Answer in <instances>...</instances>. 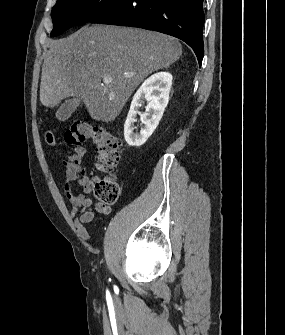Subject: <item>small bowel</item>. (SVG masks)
Listing matches in <instances>:
<instances>
[{
  "label": "small bowel",
  "instance_id": "c3829d8e",
  "mask_svg": "<svg viewBox=\"0 0 285 335\" xmlns=\"http://www.w3.org/2000/svg\"><path fill=\"white\" fill-rule=\"evenodd\" d=\"M65 165V189L70 199L71 217L75 221L76 229L82 239H89L87 224L93 221L95 212L108 215L111 213V207L102 203H96L87 196L92 189V179L87 173L85 167L79 164L64 162ZM83 187V192H76L75 185Z\"/></svg>",
  "mask_w": 285,
  "mask_h": 335
}]
</instances>
